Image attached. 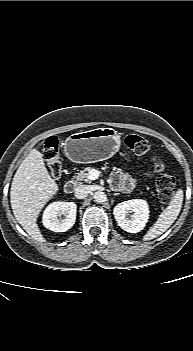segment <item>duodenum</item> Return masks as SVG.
Returning <instances> with one entry per match:
<instances>
[{
  "label": "duodenum",
  "instance_id": "obj_1",
  "mask_svg": "<svg viewBox=\"0 0 193 351\" xmlns=\"http://www.w3.org/2000/svg\"><path fill=\"white\" fill-rule=\"evenodd\" d=\"M75 186H76L75 182L72 181V180H70V181H67V182L65 183L64 189H65V191H66L67 193H72V192L74 191V189H75Z\"/></svg>",
  "mask_w": 193,
  "mask_h": 351
}]
</instances>
